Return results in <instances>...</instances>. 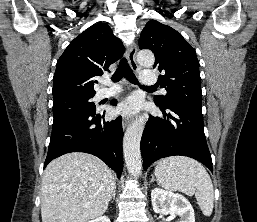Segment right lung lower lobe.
Segmentation results:
<instances>
[{"mask_svg": "<svg viewBox=\"0 0 257 222\" xmlns=\"http://www.w3.org/2000/svg\"><path fill=\"white\" fill-rule=\"evenodd\" d=\"M116 105V101L112 102ZM122 118L105 122L104 113L70 115L53 121L44 168L70 152H85L103 160L120 178L123 170Z\"/></svg>", "mask_w": 257, "mask_h": 222, "instance_id": "obj_1", "label": "right lung lower lobe"}]
</instances>
